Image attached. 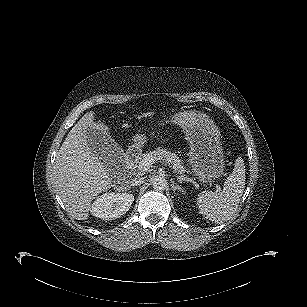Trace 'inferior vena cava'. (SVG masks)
<instances>
[{"label":"inferior vena cava","instance_id":"inferior-vena-cava-1","mask_svg":"<svg viewBox=\"0 0 307 307\" xmlns=\"http://www.w3.org/2000/svg\"><path fill=\"white\" fill-rule=\"evenodd\" d=\"M142 183H144L143 177H135L130 181L131 186H138L141 185Z\"/></svg>","mask_w":307,"mask_h":307}]
</instances>
